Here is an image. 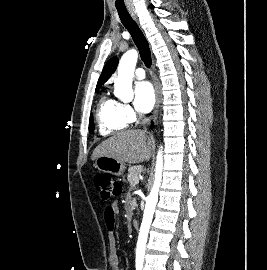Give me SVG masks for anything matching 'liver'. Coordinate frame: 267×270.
<instances>
[{
    "mask_svg": "<svg viewBox=\"0 0 267 270\" xmlns=\"http://www.w3.org/2000/svg\"><path fill=\"white\" fill-rule=\"evenodd\" d=\"M153 138L144 130L117 132L104 140L92 154V160L100 156H109L130 164L149 161L152 156Z\"/></svg>",
    "mask_w": 267,
    "mask_h": 270,
    "instance_id": "6515ba94",
    "label": "liver"
}]
</instances>
